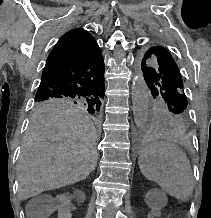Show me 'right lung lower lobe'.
Masks as SVG:
<instances>
[{"label":"right lung lower lobe","instance_id":"right-lung-lower-lobe-1","mask_svg":"<svg viewBox=\"0 0 211 218\" xmlns=\"http://www.w3.org/2000/svg\"><path fill=\"white\" fill-rule=\"evenodd\" d=\"M104 60L101 54L67 63L42 73L35 98L103 99Z\"/></svg>","mask_w":211,"mask_h":218}]
</instances>
